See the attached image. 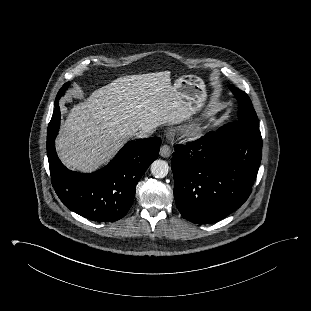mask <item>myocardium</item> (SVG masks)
Here are the masks:
<instances>
[{
  "label": "myocardium",
  "mask_w": 311,
  "mask_h": 311,
  "mask_svg": "<svg viewBox=\"0 0 311 311\" xmlns=\"http://www.w3.org/2000/svg\"><path fill=\"white\" fill-rule=\"evenodd\" d=\"M198 133H199V132H198L197 129H192V130L190 131V135L193 136V137L197 136Z\"/></svg>",
  "instance_id": "myocardium-1"
}]
</instances>
